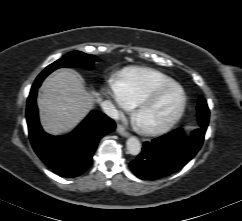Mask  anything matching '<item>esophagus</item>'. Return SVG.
I'll return each mask as SVG.
<instances>
[{"instance_id": "obj_1", "label": "esophagus", "mask_w": 242, "mask_h": 221, "mask_svg": "<svg viewBox=\"0 0 242 221\" xmlns=\"http://www.w3.org/2000/svg\"><path fill=\"white\" fill-rule=\"evenodd\" d=\"M116 130H117V133H119L121 136H124V137L129 136V133L126 130H124V128L121 125H118Z\"/></svg>"}]
</instances>
